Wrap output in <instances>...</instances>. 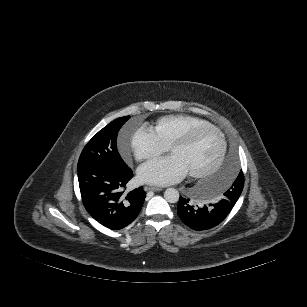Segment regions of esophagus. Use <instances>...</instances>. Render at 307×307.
<instances>
[{"label":"esophagus","instance_id":"1","mask_svg":"<svg viewBox=\"0 0 307 307\" xmlns=\"http://www.w3.org/2000/svg\"><path fill=\"white\" fill-rule=\"evenodd\" d=\"M145 190H146V191H161L162 188H160V187H155V186H146V187H145Z\"/></svg>","mask_w":307,"mask_h":307}]
</instances>
